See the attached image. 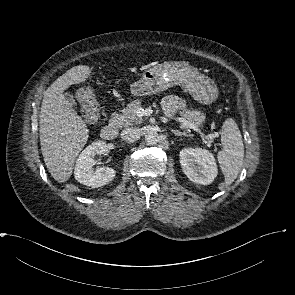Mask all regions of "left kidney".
Here are the masks:
<instances>
[{
	"label": "left kidney",
	"mask_w": 295,
	"mask_h": 295,
	"mask_svg": "<svg viewBox=\"0 0 295 295\" xmlns=\"http://www.w3.org/2000/svg\"><path fill=\"white\" fill-rule=\"evenodd\" d=\"M180 164L190 181L208 185L216 178L218 169L211 152L202 148H185L180 151Z\"/></svg>",
	"instance_id": "obj_1"
}]
</instances>
